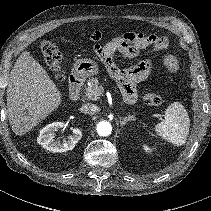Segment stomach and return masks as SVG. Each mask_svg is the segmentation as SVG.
Segmentation results:
<instances>
[{"instance_id": "stomach-1", "label": "stomach", "mask_w": 211, "mask_h": 211, "mask_svg": "<svg viewBox=\"0 0 211 211\" xmlns=\"http://www.w3.org/2000/svg\"><path fill=\"white\" fill-rule=\"evenodd\" d=\"M74 73L79 77L97 75L99 73V66L91 59H81L75 63Z\"/></svg>"}]
</instances>
